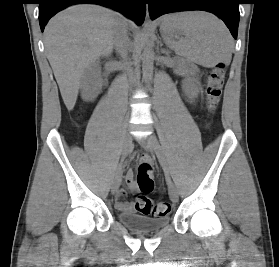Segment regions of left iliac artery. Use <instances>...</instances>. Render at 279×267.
I'll list each match as a JSON object with an SVG mask.
<instances>
[{"instance_id": "obj_1", "label": "left iliac artery", "mask_w": 279, "mask_h": 267, "mask_svg": "<svg viewBox=\"0 0 279 267\" xmlns=\"http://www.w3.org/2000/svg\"><path fill=\"white\" fill-rule=\"evenodd\" d=\"M157 157L161 162L167 181L170 182V173H169L168 164L166 162L163 152L161 151V148L160 151L157 153Z\"/></svg>"}]
</instances>
